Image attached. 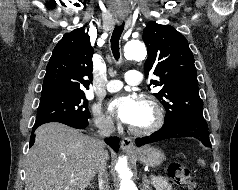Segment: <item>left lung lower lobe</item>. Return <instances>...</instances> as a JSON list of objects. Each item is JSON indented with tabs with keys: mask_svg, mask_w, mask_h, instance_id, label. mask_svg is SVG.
I'll use <instances>...</instances> for the list:
<instances>
[{
	"mask_svg": "<svg viewBox=\"0 0 238 190\" xmlns=\"http://www.w3.org/2000/svg\"><path fill=\"white\" fill-rule=\"evenodd\" d=\"M194 137L204 145L211 147L208 125L201 112L185 113L164 123L161 129L149 138L137 139L138 147L175 137Z\"/></svg>",
	"mask_w": 238,
	"mask_h": 190,
	"instance_id": "left-lung-lower-lobe-1",
	"label": "left lung lower lobe"
}]
</instances>
